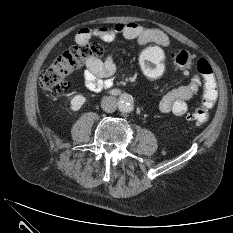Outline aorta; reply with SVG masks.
Listing matches in <instances>:
<instances>
[{
  "label": "aorta",
  "mask_w": 233,
  "mask_h": 233,
  "mask_svg": "<svg viewBox=\"0 0 233 233\" xmlns=\"http://www.w3.org/2000/svg\"><path fill=\"white\" fill-rule=\"evenodd\" d=\"M119 109L122 112L129 113L134 109V99L129 94H123L120 97Z\"/></svg>",
  "instance_id": "obj_1"
}]
</instances>
